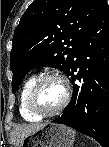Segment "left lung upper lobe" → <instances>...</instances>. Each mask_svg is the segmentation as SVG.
I'll list each match as a JSON object with an SVG mask.
<instances>
[{
  "instance_id": "1",
  "label": "left lung upper lobe",
  "mask_w": 109,
  "mask_h": 147,
  "mask_svg": "<svg viewBox=\"0 0 109 147\" xmlns=\"http://www.w3.org/2000/svg\"><path fill=\"white\" fill-rule=\"evenodd\" d=\"M106 4V0L32 2L13 36L10 54L13 93L26 73L36 66L57 68L69 76L80 40ZM98 83L100 78L91 74L89 88L99 87Z\"/></svg>"
}]
</instances>
